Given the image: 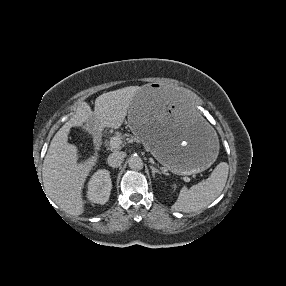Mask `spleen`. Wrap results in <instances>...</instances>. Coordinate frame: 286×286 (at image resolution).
<instances>
[{
	"mask_svg": "<svg viewBox=\"0 0 286 286\" xmlns=\"http://www.w3.org/2000/svg\"><path fill=\"white\" fill-rule=\"evenodd\" d=\"M228 171L229 165L226 162H221L205 181L199 182L189 189L186 186L182 187L172 209L189 213L208 206L224 189L228 178Z\"/></svg>",
	"mask_w": 286,
	"mask_h": 286,
	"instance_id": "3e777b00",
	"label": "spleen"
}]
</instances>
